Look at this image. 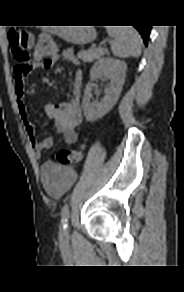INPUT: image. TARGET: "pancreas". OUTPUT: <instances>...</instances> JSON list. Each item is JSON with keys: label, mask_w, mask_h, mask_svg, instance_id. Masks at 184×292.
Returning a JSON list of instances; mask_svg holds the SVG:
<instances>
[{"label": "pancreas", "mask_w": 184, "mask_h": 292, "mask_svg": "<svg viewBox=\"0 0 184 292\" xmlns=\"http://www.w3.org/2000/svg\"><path fill=\"white\" fill-rule=\"evenodd\" d=\"M105 54L106 50L104 49L101 51L100 48H90L87 51H80L78 53V58L81 59L83 62H92Z\"/></svg>", "instance_id": "1"}]
</instances>
